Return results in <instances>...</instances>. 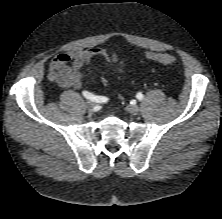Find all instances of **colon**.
<instances>
[{
    "label": "colon",
    "mask_w": 222,
    "mask_h": 219,
    "mask_svg": "<svg viewBox=\"0 0 222 219\" xmlns=\"http://www.w3.org/2000/svg\"><path fill=\"white\" fill-rule=\"evenodd\" d=\"M146 58L162 65H172L176 61V57L170 53H147Z\"/></svg>",
    "instance_id": "obj_1"
}]
</instances>
